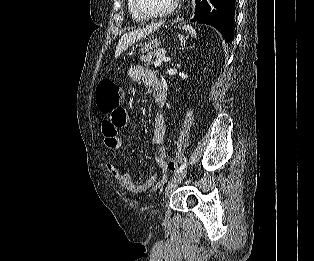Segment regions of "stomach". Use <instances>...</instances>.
Instances as JSON below:
<instances>
[{
	"mask_svg": "<svg viewBox=\"0 0 314 261\" xmlns=\"http://www.w3.org/2000/svg\"><path fill=\"white\" fill-rule=\"evenodd\" d=\"M159 44L160 41H158L157 39H150L143 45H141L140 50L142 53L149 52L154 50L155 48H158Z\"/></svg>",
	"mask_w": 314,
	"mask_h": 261,
	"instance_id": "stomach-1",
	"label": "stomach"
}]
</instances>
